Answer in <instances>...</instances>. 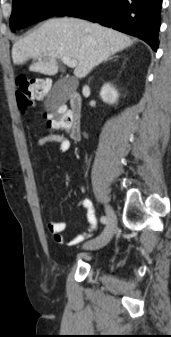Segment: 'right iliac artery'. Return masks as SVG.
Instances as JSON below:
<instances>
[{
	"label": "right iliac artery",
	"mask_w": 171,
	"mask_h": 337,
	"mask_svg": "<svg viewBox=\"0 0 171 337\" xmlns=\"http://www.w3.org/2000/svg\"><path fill=\"white\" fill-rule=\"evenodd\" d=\"M100 221H101L103 224H106L107 221H108V219H107L106 216H102V217L100 218Z\"/></svg>",
	"instance_id": "obj_1"
}]
</instances>
